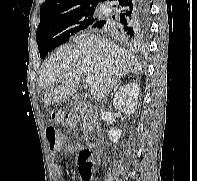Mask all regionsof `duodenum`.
<instances>
[{
    "mask_svg": "<svg viewBox=\"0 0 197 181\" xmlns=\"http://www.w3.org/2000/svg\"><path fill=\"white\" fill-rule=\"evenodd\" d=\"M79 109L82 112L83 116L87 119L88 127L92 128L91 120L93 119V114L91 113V111L84 107H80ZM93 141L96 142L95 139Z\"/></svg>",
    "mask_w": 197,
    "mask_h": 181,
    "instance_id": "1",
    "label": "duodenum"
}]
</instances>
